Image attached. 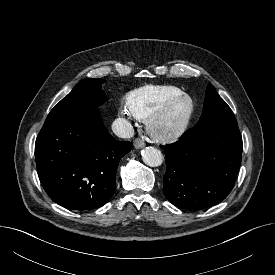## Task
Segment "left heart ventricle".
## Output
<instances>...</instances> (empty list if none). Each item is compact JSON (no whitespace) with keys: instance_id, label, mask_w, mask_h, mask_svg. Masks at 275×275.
<instances>
[{"instance_id":"1","label":"left heart ventricle","mask_w":275,"mask_h":275,"mask_svg":"<svg viewBox=\"0 0 275 275\" xmlns=\"http://www.w3.org/2000/svg\"><path fill=\"white\" fill-rule=\"evenodd\" d=\"M184 112V105L179 103L176 105L163 119L164 126H172L176 124L182 117Z\"/></svg>"}]
</instances>
